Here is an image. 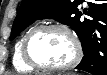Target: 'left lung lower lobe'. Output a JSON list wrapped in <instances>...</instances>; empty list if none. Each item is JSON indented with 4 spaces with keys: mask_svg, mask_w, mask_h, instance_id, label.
Returning a JSON list of instances; mask_svg holds the SVG:
<instances>
[{
    "mask_svg": "<svg viewBox=\"0 0 107 75\" xmlns=\"http://www.w3.org/2000/svg\"><path fill=\"white\" fill-rule=\"evenodd\" d=\"M88 5L91 21L80 39L84 56L76 69L107 75V39L101 40L95 35L97 25L107 21V1L91 0Z\"/></svg>",
    "mask_w": 107,
    "mask_h": 75,
    "instance_id": "left-lung-lower-lobe-1",
    "label": "left lung lower lobe"
}]
</instances>
